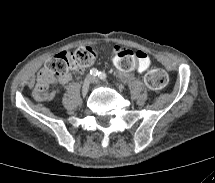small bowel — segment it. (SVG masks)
<instances>
[{
    "instance_id": "c3829d8e",
    "label": "small bowel",
    "mask_w": 215,
    "mask_h": 183,
    "mask_svg": "<svg viewBox=\"0 0 215 183\" xmlns=\"http://www.w3.org/2000/svg\"><path fill=\"white\" fill-rule=\"evenodd\" d=\"M122 46H115L113 65L116 69V75L123 81H129L132 76L145 74L151 65L149 55L140 49L125 50ZM83 72V70L79 71ZM44 70H42L35 83L32 85V95L37 101L52 100L56 96L55 91H48L51 84L56 81L62 85L68 84L72 80V74L68 73L57 80H43Z\"/></svg>"
}]
</instances>
